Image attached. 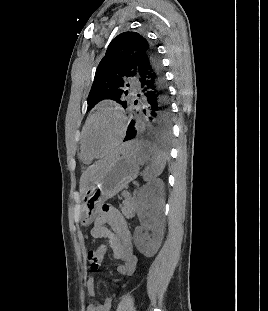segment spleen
<instances>
[{
	"mask_svg": "<svg viewBox=\"0 0 268 311\" xmlns=\"http://www.w3.org/2000/svg\"><path fill=\"white\" fill-rule=\"evenodd\" d=\"M125 145L126 147H142V149L139 150L140 154H143L144 150L147 149V146L144 145L143 140H126ZM148 161H150L151 164L146 167L143 173L145 181L154 180L157 176H159L163 172L166 164V159L162 152L151 145H148L147 152L144 156L138 159L140 165H143Z\"/></svg>",
	"mask_w": 268,
	"mask_h": 311,
	"instance_id": "3e777b00",
	"label": "spleen"
}]
</instances>
